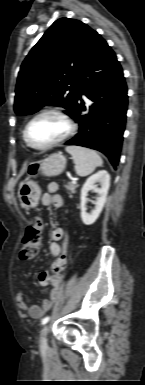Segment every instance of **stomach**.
I'll list each match as a JSON object with an SVG mask.
<instances>
[{
    "instance_id": "stomach-1",
    "label": "stomach",
    "mask_w": 145,
    "mask_h": 385,
    "mask_svg": "<svg viewBox=\"0 0 145 385\" xmlns=\"http://www.w3.org/2000/svg\"><path fill=\"white\" fill-rule=\"evenodd\" d=\"M66 163V157L61 152L53 153L41 162L39 170L45 176H57L65 170ZM17 197L25 209L34 208L39 204L41 188L37 182L27 178L20 182Z\"/></svg>"
}]
</instances>
